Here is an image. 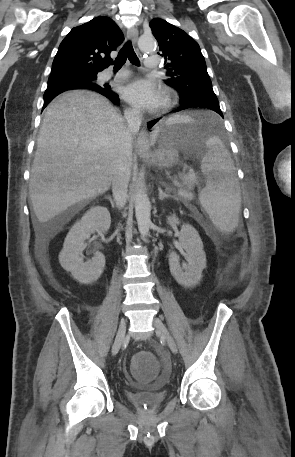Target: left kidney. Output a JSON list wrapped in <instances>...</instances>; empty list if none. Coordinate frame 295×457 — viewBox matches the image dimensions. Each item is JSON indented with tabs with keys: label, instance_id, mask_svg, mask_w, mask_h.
I'll use <instances>...</instances> for the list:
<instances>
[{
	"label": "left kidney",
	"instance_id": "obj_1",
	"mask_svg": "<svg viewBox=\"0 0 295 457\" xmlns=\"http://www.w3.org/2000/svg\"><path fill=\"white\" fill-rule=\"evenodd\" d=\"M167 223L175 226L180 223L175 214L167 217ZM179 250L186 252L187 264L180 266L179 256L173 251L169 254V267L178 284L185 288L194 287L202 278L206 268V254L197 230L190 224H183L179 235Z\"/></svg>",
	"mask_w": 295,
	"mask_h": 457
}]
</instances>
